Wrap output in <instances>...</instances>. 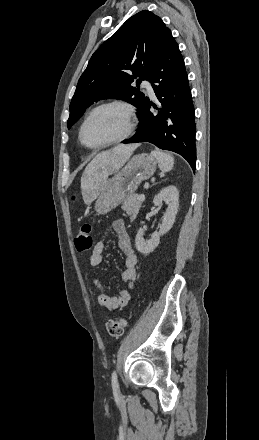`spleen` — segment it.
<instances>
[{"instance_id": "1", "label": "spleen", "mask_w": 259, "mask_h": 440, "mask_svg": "<svg viewBox=\"0 0 259 440\" xmlns=\"http://www.w3.org/2000/svg\"><path fill=\"white\" fill-rule=\"evenodd\" d=\"M151 154L156 158L161 171L168 172L173 168L174 158L170 154L158 149L152 151Z\"/></svg>"}]
</instances>
